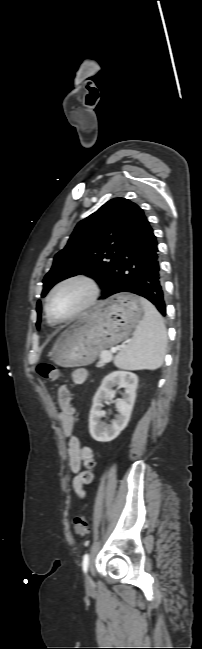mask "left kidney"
<instances>
[{
	"mask_svg": "<svg viewBox=\"0 0 202 649\" xmlns=\"http://www.w3.org/2000/svg\"><path fill=\"white\" fill-rule=\"evenodd\" d=\"M123 388L122 399L115 402L119 412L110 425L100 423V418L105 415L102 402L112 401L113 387ZM138 376L132 372L115 371L108 374L101 382L93 398V405L89 416V431L91 436L99 442H108L115 439L127 426L136 398Z\"/></svg>",
	"mask_w": 202,
	"mask_h": 649,
	"instance_id": "1",
	"label": "left kidney"
}]
</instances>
